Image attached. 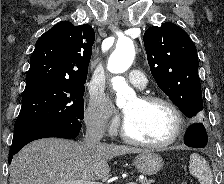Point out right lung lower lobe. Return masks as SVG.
I'll list each match as a JSON object with an SVG mask.
<instances>
[{
    "label": "right lung lower lobe",
    "mask_w": 224,
    "mask_h": 184,
    "mask_svg": "<svg viewBox=\"0 0 224 184\" xmlns=\"http://www.w3.org/2000/svg\"><path fill=\"white\" fill-rule=\"evenodd\" d=\"M81 126V123L47 121L24 127L14 133L11 149L9 151L8 163H11L13 156L29 142L47 137L76 138L80 132Z\"/></svg>",
    "instance_id": "obj_1"
}]
</instances>
